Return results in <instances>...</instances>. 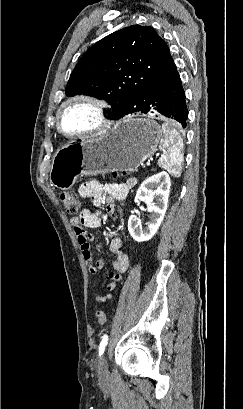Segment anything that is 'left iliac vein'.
Segmentation results:
<instances>
[{"mask_svg": "<svg viewBox=\"0 0 243 409\" xmlns=\"http://www.w3.org/2000/svg\"><path fill=\"white\" fill-rule=\"evenodd\" d=\"M107 373H108V364H107L105 356H103L101 358V360L99 361V364H98L99 378H101V379L105 378L107 376Z\"/></svg>", "mask_w": 243, "mask_h": 409, "instance_id": "4c4485c4", "label": "left iliac vein"}]
</instances>
